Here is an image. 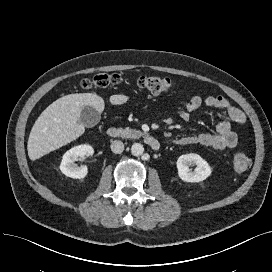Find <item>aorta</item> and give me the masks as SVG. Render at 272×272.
Segmentation results:
<instances>
[{"label":"aorta","mask_w":272,"mask_h":272,"mask_svg":"<svg viewBox=\"0 0 272 272\" xmlns=\"http://www.w3.org/2000/svg\"><path fill=\"white\" fill-rule=\"evenodd\" d=\"M131 153L134 156H141L144 153V147L140 143H134L131 147Z\"/></svg>","instance_id":"obj_1"}]
</instances>
